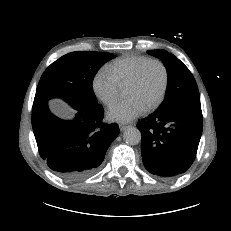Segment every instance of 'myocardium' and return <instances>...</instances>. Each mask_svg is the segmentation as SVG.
<instances>
[{
  "label": "myocardium",
  "mask_w": 231,
  "mask_h": 231,
  "mask_svg": "<svg viewBox=\"0 0 231 231\" xmlns=\"http://www.w3.org/2000/svg\"><path fill=\"white\" fill-rule=\"evenodd\" d=\"M153 63L160 65V67L162 68V71H163V77L164 78H163V85H162L161 91H160L157 99L146 108L148 111H152V110H155L156 108H158L165 98V95H166V92L168 89V84H169V72H168V69H167V66L165 65V63L162 60L156 59V58H151V59L147 60L138 68L135 75L133 76V78L130 80V82L127 85V88H130V87L137 85L140 82L146 68L150 64H153Z\"/></svg>",
  "instance_id": "f54148a6"
}]
</instances>
